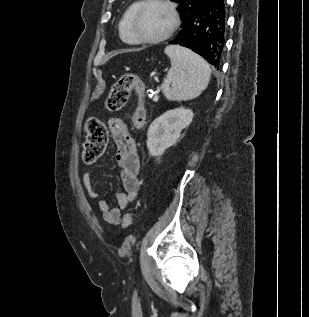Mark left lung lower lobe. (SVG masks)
<instances>
[{
	"mask_svg": "<svg viewBox=\"0 0 309 317\" xmlns=\"http://www.w3.org/2000/svg\"><path fill=\"white\" fill-rule=\"evenodd\" d=\"M227 29L226 0H205L184 21L170 44L187 47L220 67Z\"/></svg>",
	"mask_w": 309,
	"mask_h": 317,
	"instance_id": "left-lung-lower-lobe-1",
	"label": "left lung lower lobe"
}]
</instances>
